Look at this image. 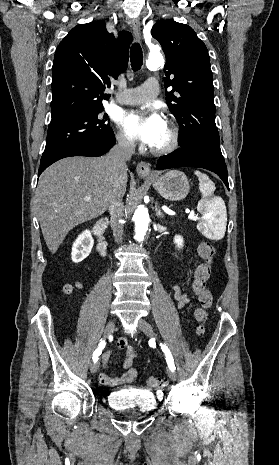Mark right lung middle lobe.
<instances>
[{"label":"right lung middle lobe","mask_w":279,"mask_h":465,"mask_svg":"<svg viewBox=\"0 0 279 465\" xmlns=\"http://www.w3.org/2000/svg\"><path fill=\"white\" fill-rule=\"evenodd\" d=\"M103 106L88 110L77 116L65 119L48 128L46 147L41 163L62 150L80 142H103L114 136L107 114L99 116Z\"/></svg>","instance_id":"1"}]
</instances>
